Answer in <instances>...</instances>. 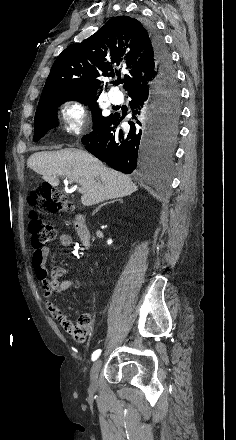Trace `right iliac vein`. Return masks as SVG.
Segmentation results:
<instances>
[{"label":"right iliac vein","instance_id":"right-iliac-vein-1","mask_svg":"<svg viewBox=\"0 0 236 440\" xmlns=\"http://www.w3.org/2000/svg\"><path fill=\"white\" fill-rule=\"evenodd\" d=\"M102 365V361L101 359L96 360L92 367H91V371H90V386L92 389H96L97 388V378H98V373L99 370L101 368Z\"/></svg>","mask_w":236,"mask_h":440}]
</instances>
